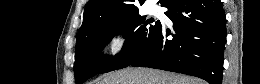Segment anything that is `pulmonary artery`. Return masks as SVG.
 <instances>
[{
    "mask_svg": "<svg viewBox=\"0 0 260 84\" xmlns=\"http://www.w3.org/2000/svg\"><path fill=\"white\" fill-rule=\"evenodd\" d=\"M149 10H150V13L155 14V13L158 12V7L155 6V5H151V6L149 7Z\"/></svg>",
    "mask_w": 260,
    "mask_h": 84,
    "instance_id": "obj_1",
    "label": "pulmonary artery"
}]
</instances>
